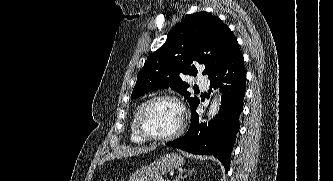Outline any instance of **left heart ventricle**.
<instances>
[{"label":"left heart ventricle","mask_w":333,"mask_h":181,"mask_svg":"<svg viewBox=\"0 0 333 181\" xmlns=\"http://www.w3.org/2000/svg\"><path fill=\"white\" fill-rule=\"evenodd\" d=\"M181 121L179 107L166 100L151 104L143 116L144 128L153 135L163 136L175 131Z\"/></svg>","instance_id":"1"}]
</instances>
